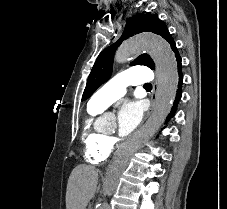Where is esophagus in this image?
<instances>
[{
  "label": "esophagus",
  "instance_id": "obj_1",
  "mask_svg": "<svg viewBox=\"0 0 227 209\" xmlns=\"http://www.w3.org/2000/svg\"><path fill=\"white\" fill-rule=\"evenodd\" d=\"M157 99H158V77L156 73V79L151 94V105H149V108H147V113H154V110H156V107H158V102H156Z\"/></svg>",
  "mask_w": 227,
  "mask_h": 209
}]
</instances>
